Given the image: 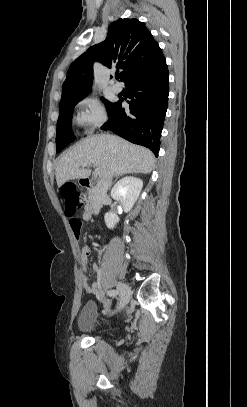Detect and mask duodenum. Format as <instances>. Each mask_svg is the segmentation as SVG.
I'll list each match as a JSON object with an SVG mask.
<instances>
[{
    "mask_svg": "<svg viewBox=\"0 0 247 407\" xmlns=\"http://www.w3.org/2000/svg\"><path fill=\"white\" fill-rule=\"evenodd\" d=\"M80 184L91 195V199L88 201L84 209V218L89 220L99 212L102 205V197L97 195L96 183L94 180L84 177L81 178Z\"/></svg>",
    "mask_w": 247,
    "mask_h": 407,
    "instance_id": "duodenum-1",
    "label": "duodenum"
}]
</instances>
